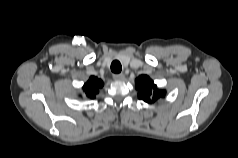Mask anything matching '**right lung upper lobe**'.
<instances>
[{
  "mask_svg": "<svg viewBox=\"0 0 238 158\" xmlns=\"http://www.w3.org/2000/svg\"><path fill=\"white\" fill-rule=\"evenodd\" d=\"M103 87V82L97 77L91 76L89 80L84 84L83 90L86 96L90 99H94L98 90Z\"/></svg>",
  "mask_w": 238,
  "mask_h": 158,
  "instance_id": "1",
  "label": "right lung upper lobe"
}]
</instances>
